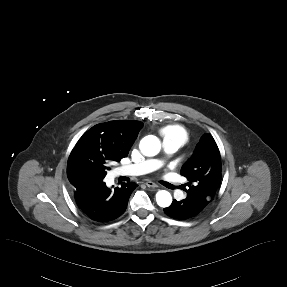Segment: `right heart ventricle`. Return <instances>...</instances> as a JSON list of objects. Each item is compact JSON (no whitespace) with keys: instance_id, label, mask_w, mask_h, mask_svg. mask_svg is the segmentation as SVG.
<instances>
[{"instance_id":"obj_1","label":"right heart ventricle","mask_w":287,"mask_h":287,"mask_svg":"<svg viewBox=\"0 0 287 287\" xmlns=\"http://www.w3.org/2000/svg\"><path fill=\"white\" fill-rule=\"evenodd\" d=\"M161 134L165 139H171L179 143L180 146L184 145L188 139L186 130L179 125H172L164 127Z\"/></svg>"}]
</instances>
